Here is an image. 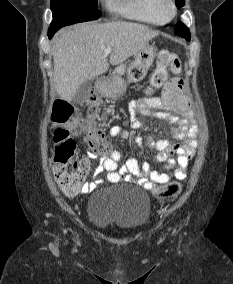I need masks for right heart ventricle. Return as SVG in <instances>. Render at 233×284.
Returning a JSON list of instances; mask_svg holds the SVG:
<instances>
[{
    "label": "right heart ventricle",
    "instance_id": "right-heart-ventricle-1",
    "mask_svg": "<svg viewBox=\"0 0 233 284\" xmlns=\"http://www.w3.org/2000/svg\"><path fill=\"white\" fill-rule=\"evenodd\" d=\"M159 0H110V9L122 17L150 25L166 21L158 13Z\"/></svg>",
    "mask_w": 233,
    "mask_h": 284
}]
</instances>
